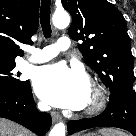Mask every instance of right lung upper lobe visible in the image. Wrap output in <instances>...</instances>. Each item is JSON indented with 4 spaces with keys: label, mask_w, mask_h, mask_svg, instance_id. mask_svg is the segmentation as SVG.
I'll return each mask as SVG.
<instances>
[{
    "label": "right lung upper lobe",
    "mask_w": 136,
    "mask_h": 136,
    "mask_svg": "<svg viewBox=\"0 0 136 136\" xmlns=\"http://www.w3.org/2000/svg\"><path fill=\"white\" fill-rule=\"evenodd\" d=\"M39 0H0V64L23 56L18 44L32 43L38 28Z\"/></svg>",
    "instance_id": "cb5924a9"
}]
</instances>
